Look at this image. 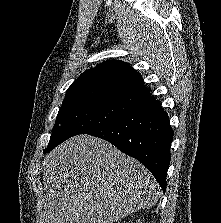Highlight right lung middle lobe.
<instances>
[{
  "label": "right lung middle lobe",
  "mask_w": 221,
  "mask_h": 223,
  "mask_svg": "<svg viewBox=\"0 0 221 223\" xmlns=\"http://www.w3.org/2000/svg\"><path fill=\"white\" fill-rule=\"evenodd\" d=\"M134 108L130 104L98 98L63 102L44 153L50 152L66 139L112 122Z\"/></svg>",
  "instance_id": "right-lung-middle-lobe-1"
}]
</instances>
